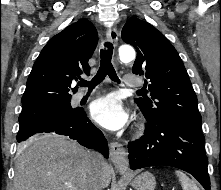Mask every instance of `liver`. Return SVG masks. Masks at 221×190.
Instances as JSON below:
<instances>
[{
    "label": "liver",
    "instance_id": "obj_1",
    "mask_svg": "<svg viewBox=\"0 0 221 190\" xmlns=\"http://www.w3.org/2000/svg\"><path fill=\"white\" fill-rule=\"evenodd\" d=\"M90 151L53 134L37 135L21 145L15 164L14 190H87ZM113 168L105 162L102 186ZM66 183H71L68 187Z\"/></svg>",
    "mask_w": 221,
    "mask_h": 190
}]
</instances>
